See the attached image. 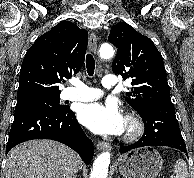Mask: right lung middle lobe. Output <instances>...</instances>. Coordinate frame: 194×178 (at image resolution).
<instances>
[{"label": "right lung middle lobe", "mask_w": 194, "mask_h": 178, "mask_svg": "<svg viewBox=\"0 0 194 178\" xmlns=\"http://www.w3.org/2000/svg\"><path fill=\"white\" fill-rule=\"evenodd\" d=\"M59 103H60L59 96H55L50 98H41V99L24 101V102H18L16 104L15 109L21 108V107H27V106H43L56 111L65 110V107L60 106Z\"/></svg>", "instance_id": "obj_1"}]
</instances>
